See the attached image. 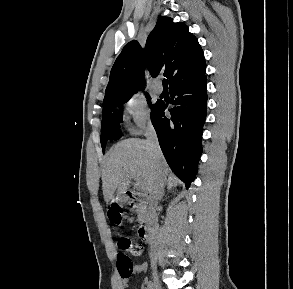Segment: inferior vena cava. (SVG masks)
I'll list each match as a JSON object with an SVG mask.
<instances>
[{
	"label": "inferior vena cava",
	"mask_w": 293,
	"mask_h": 289,
	"mask_svg": "<svg viewBox=\"0 0 293 289\" xmlns=\"http://www.w3.org/2000/svg\"><path fill=\"white\" fill-rule=\"evenodd\" d=\"M145 136L147 138L146 141L148 145L150 146L151 150L154 152V154H161L157 134L155 132L154 127L151 124H149L146 127ZM164 185H165V179L161 175H159L149 190V216L151 220L152 234H153V237L150 241V257L154 261L156 260V254H157L156 253L157 252L156 234L158 229L156 207L158 204V200L160 199V195L163 191Z\"/></svg>",
	"instance_id": "602c4592"
}]
</instances>
